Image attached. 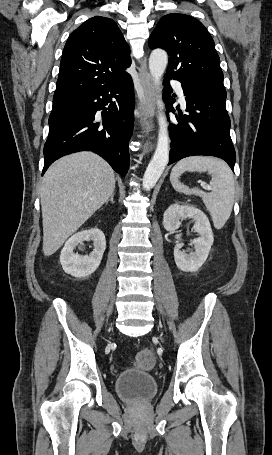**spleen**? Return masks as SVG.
I'll return each instance as SVG.
<instances>
[{
    "label": "spleen",
    "instance_id": "3e777b00",
    "mask_svg": "<svg viewBox=\"0 0 272 455\" xmlns=\"http://www.w3.org/2000/svg\"><path fill=\"white\" fill-rule=\"evenodd\" d=\"M185 171L208 172L211 175V192L182 184L179 177ZM170 181L173 188L186 195L200 196L210 212L215 228L221 229L229 219L234 204L235 183L229 166L213 157L192 156L180 160L172 169Z\"/></svg>",
    "mask_w": 272,
    "mask_h": 455
}]
</instances>
